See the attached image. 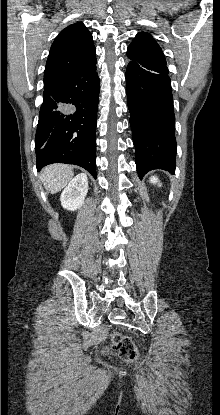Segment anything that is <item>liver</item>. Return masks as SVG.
I'll list each match as a JSON object with an SVG mask.
<instances>
[{
  "instance_id": "1",
  "label": "liver",
  "mask_w": 220,
  "mask_h": 415,
  "mask_svg": "<svg viewBox=\"0 0 220 415\" xmlns=\"http://www.w3.org/2000/svg\"><path fill=\"white\" fill-rule=\"evenodd\" d=\"M73 167L64 164H53L45 167L41 174L44 186L55 194L61 191L73 178Z\"/></svg>"
}]
</instances>
